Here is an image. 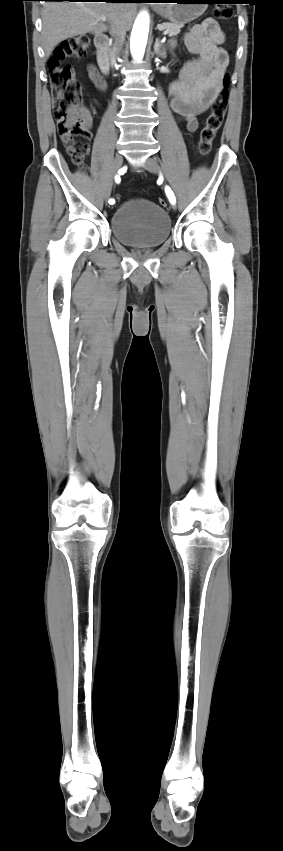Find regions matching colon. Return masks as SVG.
<instances>
[{"mask_svg": "<svg viewBox=\"0 0 283 851\" xmlns=\"http://www.w3.org/2000/svg\"><path fill=\"white\" fill-rule=\"evenodd\" d=\"M214 15L220 20H228L233 16V11L227 5H220L214 9ZM89 45L90 39L87 35L74 36L63 41L48 62L54 99V117L57 121L59 136L64 143H74L76 138L88 141L91 137L89 119L82 107L80 85L74 77L73 68L63 63L67 59H78L85 56ZM227 98V79H225L220 96L213 104L212 111L200 132L199 152L202 155L210 152L213 141L223 124L227 110ZM87 149L88 143L85 142L80 148L70 150V156L76 165H83ZM159 203L162 206L166 205L164 199H159Z\"/></svg>", "mask_w": 283, "mask_h": 851, "instance_id": "1", "label": "colon"}]
</instances>
